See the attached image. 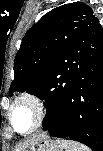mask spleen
<instances>
[{
  "instance_id": "spleen-1",
  "label": "spleen",
  "mask_w": 103,
  "mask_h": 151,
  "mask_svg": "<svg viewBox=\"0 0 103 151\" xmlns=\"http://www.w3.org/2000/svg\"><path fill=\"white\" fill-rule=\"evenodd\" d=\"M59 145L61 149H65V151H91L87 146L75 142L73 140L62 139L59 140Z\"/></svg>"
}]
</instances>
